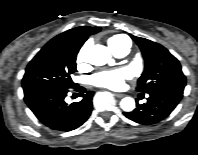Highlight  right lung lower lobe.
Here are the masks:
<instances>
[{
    "label": "right lung lower lobe",
    "instance_id": "98d812e1",
    "mask_svg": "<svg viewBox=\"0 0 198 155\" xmlns=\"http://www.w3.org/2000/svg\"><path fill=\"white\" fill-rule=\"evenodd\" d=\"M84 93L85 89H76ZM68 89L40 86L24 89V100L35 116L47 127L57 131H71L81 126L92 111L94 92L82 95L80 102L68 105L64 98Z\"/></svg>",
    "mask_w": 198,
    "mask_h": 155
}]
</instances>
